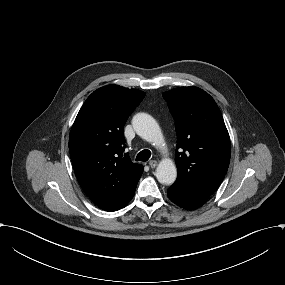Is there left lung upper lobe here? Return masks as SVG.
<instances>
[{"mask_svg": "<svg viewBox=\"0 0 285 285\" xmlns=\"http://www.w3.org/2000/svg\"><path fill=\"white\" fill-rule=\"evenodd\" d=\"M175 120L176 183L209 198L221 184L230 161V138L214 99L200 88L164 92Z\"/></svg>", "mask_w": 285, "mask_h": 285, "instance_id": "5c2ea615", "label": "left lung upper lobe"}]
</instances>
